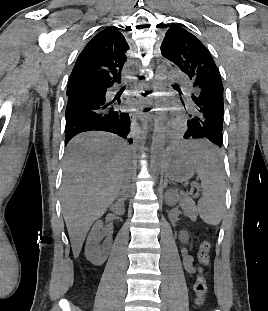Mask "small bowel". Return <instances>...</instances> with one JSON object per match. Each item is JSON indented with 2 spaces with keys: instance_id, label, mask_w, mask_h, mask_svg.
Returning a JSON list of instances; mask_svg holds the SVG:
<instances>
[{
  "instance_id": "obj_1",
  "label": "small bowel",
  "mask_w": 268,
  "mask_h": 311,
  "mask_svg": "<svg viewBox=\"0 0 268 311\" xmlns=\"http://www.w3.org/2000/svg\"><path fill=\"white\" fill-rule=\"evenodd\" d=\"M181 253H182L183 265H184L185 270L188 273L193 274L195 272L193 256L189 253L188 248H183Z\"/></svg>"
}]
</instances>
